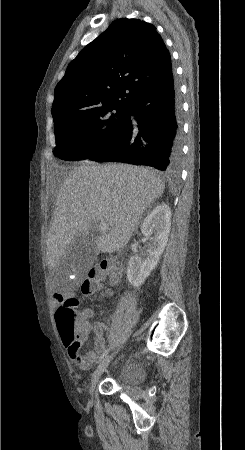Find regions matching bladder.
<instances>
[{
	"label": "bladder",
	"mask_w": 245,
	"mask_h": 450,
	"mask_svg": "<svg viewBox=\"0 0 245 450\" xmlns=\"http://www.w3.org/2000/svg\"><path fill=\"white\" fill-rule=\"evenodd\" d=\"M144 366L139 362H128L119 368L117 381L125 386H137L144 376Z\"/></svg>",
	"instance_id": "bladder-1"
}]
</instances>
